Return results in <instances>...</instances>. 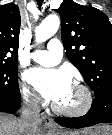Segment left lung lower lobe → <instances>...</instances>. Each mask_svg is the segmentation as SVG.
Wrapping results in <instances>:
<instances>
[{
	"mask_svg": "<svg viewBox=\"0 0 112 135\" xmlns=\"http://www.w3.org/2000/svg\"><path fill=\"white\" fill-rule=\"evenodd\" d=\"M55 121L66 128H84L99 123H112V92L97 96L89 112L81 117H58Z\"/></svg>",
	"mask_w": 112,
	"mask_h": 135,
	"instance_id": "left-lung-lower-lobe-1",
	"label": "left lung lower lobe"
}]
</instances>
